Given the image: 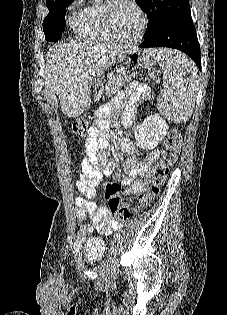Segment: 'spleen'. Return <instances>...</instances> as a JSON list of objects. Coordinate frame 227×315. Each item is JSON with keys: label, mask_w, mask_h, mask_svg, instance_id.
<instances>
[{"label": "spleen", "mask_w": 227, "mask_h": 315, "mask_svg": "<svg viewBox=\"0 0 227 315\" xmlns=\"http://www.w3.org/2000/svg\"><path fill=\"white\" fill-rule=\"evenodd\" d=\"M149 54L164 72V89L157 98L161 115L175 123L186 122L196 99V67L185 55L172 49H154Z\"/></svg>", "instance_id": "1"}]
</instances>
